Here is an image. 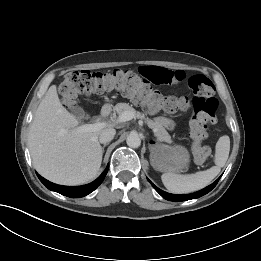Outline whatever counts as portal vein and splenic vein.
<instances>
[{
    "mask_svg": "<svg viewBox=\"0 0 261 261\" xmlns=\"http://www.w3.org/2000/svg\"><path fill=\"white\" fill-rule=\"evenodd\" d=\"M134 118V113L131 111H125L121 115L118 116L117 120L115 121L116 123H122L129 121ZM108 124L106 122H97L94 124H85L82 126H79L77 128L78 131H96L103 129L107 126Z\"/></svg>",
    "mask_w": 261,
    "mask_h": 261,
    "instance_id": "18ae733b",
    "label": "portal vein and splenic vein"
}]
</instances>
